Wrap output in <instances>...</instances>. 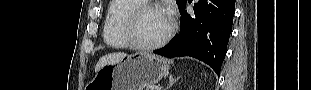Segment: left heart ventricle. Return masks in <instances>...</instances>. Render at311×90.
<instances>
[{
    "mask_svg": "<svg viewBox=\"0 0 311 90\" xmlns=\"http://www.w3.org/2000/svg\"><path fill=\"white\" fill-rule=\"evenodd\" d=\"M171 21L161 9L146 11L138 24V38L150 44L160 40L169 30Z\"/></svg>",
    "mask_w": 311,
    "mask_h": 90,
    "instance_id": "obj_1",
    "label": "left heart ventricle"
}]
</instances>
